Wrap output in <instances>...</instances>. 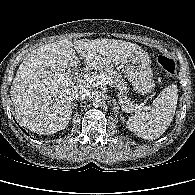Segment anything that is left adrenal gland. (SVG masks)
<instances>
[{
	"instance_id": "obj_1",
	"label": "left adrenal gland",
	"mask_w": 195,
	"mask_h": 195,
	"mask_svg": "<svg viewBox=\"0 0 195 195\" xmlns=\"http://www.w3.org/2000/svg\"><path fill=\"white\" fill-rule=\"evenodd\" d=\"M114 101V112L119 113L120 107L118 106L117 102L113 99Z\"/></svg>"
}]
</instances>
